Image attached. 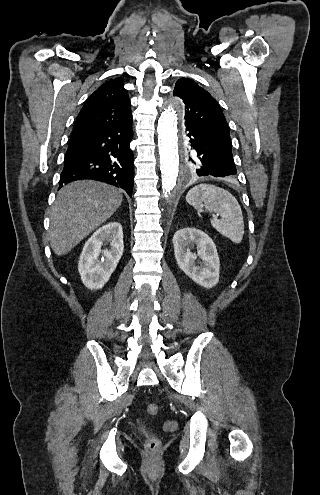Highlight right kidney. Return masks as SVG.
Here are the masks:
<instances>
[{
    "mask_svg": "<svg viewBox=\"0 0 320 495\" xmlns=\"http://www.w3.org/2000/svg\"><path fill=\"white\" fill-rule=\"evenodd\" d=\"M109 249H102L105 244ZM124 249L120 223L111 222L99 228L83 247L78 263L82 283L90 290L101 289L115 271ZM103 254L104 260L99 256Z\"/></svg>",
    "mask_w": 320,
    "mask_h": 495,
    "instance_id": "ca27d5eb",
    "label": "right kidney"
}]
</instances>
